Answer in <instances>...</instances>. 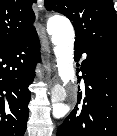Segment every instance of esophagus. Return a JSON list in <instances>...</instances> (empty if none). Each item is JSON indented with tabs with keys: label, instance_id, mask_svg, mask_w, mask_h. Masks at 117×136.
<instances>
[{
	"label": "esophagus",
	"instance_id": "obj_1",
	"mask_svg": "<svg viewBox=\"0 0 117 136\" xmlns=\"http://www.w3.org/2000/svg\"><path fill=\"white\" fill-rule=\"evenodd\" d=\"M41 36H42V38L45 37V31H44L43 27L41 28ZM42 47H43V45H42ZM43 49H44V47H43Z\"/></svg>",
	"mask_w": 117,
	"mask_h": 136
}]
</instances>
